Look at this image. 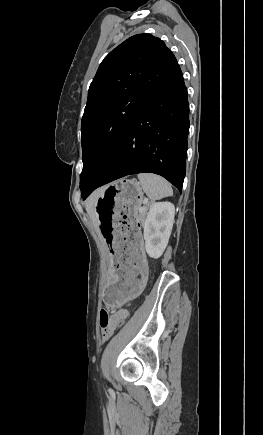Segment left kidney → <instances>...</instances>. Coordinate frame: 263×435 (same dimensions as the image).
<instances>
[{
  "mask_svg": "<svg viewBox=\"0 0 263 435\" xmlns=\"http://www.w3.org/2000/svg\"><path fill=\"white\" fill-rule=\"evenodd\" d=\"M175 216V207L170 202H154L144 222V239L147 254L159 258L169 241Z\"/></svg>",
  "mask_w": 263,
  "mask_h": 435,
  "instance_id": "obj_1",
  "label": "left kidney"
}]
</instances>
